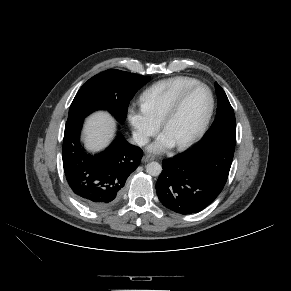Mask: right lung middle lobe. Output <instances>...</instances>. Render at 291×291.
<instances>
[{
    "label": "right lung middle lobe",
    "mask_w": 291,
    "mask_h": 291,
    "mask_svg": "<svg viewBox=\"0 0 291 291\" xmlns=\"http://www.w3.org/2000/svg\"><path fill=\"white\" fill-rule=\"evenodd\" d=\"M149 80V76L106 70L89 79L80 88L70 106L68 120L85 118L95 110L105 109L123 123L130 100Z\"/></svg>",
    "instance_id": "obj_1"
}]
</instances>
